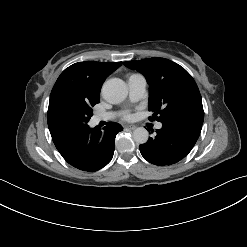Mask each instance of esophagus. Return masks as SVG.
I'll return each mask as SVG.
<instances>
[{
  "instance_id": "obj_1",
  "label": "esophagus",
  "mask_w": 247,
  "mask_h": 247,
  "mask_svg": "<svg viewBox=\"0 0 247 247\" xmlns=\"http://www.w3.org/2000/svg\"><path fill=\"white\" fill-rule=\"evenodd\" d=\"M124 128L128 129V130H135L136 126L135 125H126Z\"/></svg>"
}]
</instances>
